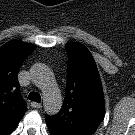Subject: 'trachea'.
<instances>
[{
	"label": "trachea",
	"mask_w": 135,
	"mask_h": 135,
	"mask_svg": "<svg viewBox=\"0 0 135 135\" xmlns=\"http://www.w3.org/2000/svg\"><path fill=\"white\" fill-rule=\"evenodd\" d=\"M28 99H29V100H32V101H35V102H37V103H40V101H41V96H40V94L37 93V92H30V93H29V96H28Z\"/></svg>",
	"instance_id": "3493384b"
}]
</instances>
